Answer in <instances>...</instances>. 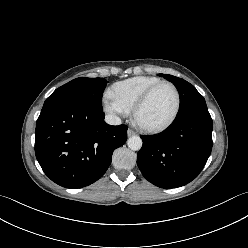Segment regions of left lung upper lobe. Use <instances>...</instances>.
Masks as SVG:
<instances>
[{
	"mask_svg": "<svg viewBox=\"0 0 248 248\" xmlns=\"http://www.w3.org/2000/svg\"><path fill=\"white\" fill-rule=\"evenodd\" d=\"M171 81L177 88L180 96V109L178 115H182L200 104H206L203 96L189 82L168 74H160Z\"/></svg>",
	"mask_w": 248,
	"mask_h": 248,
	"instance_id": "5c2ea615",
	"label": "left lung upper lobe"
}]
</instances>
